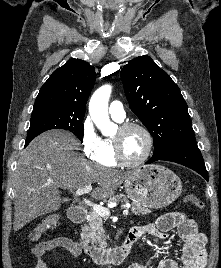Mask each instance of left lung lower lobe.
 Here are the masks:
<instances>
[{
    "label": "left lung lower lobe",
    "mask_w": 221,
    "mask_h": 268,
    "mask_svg": "<svg viewBox=\"0 0 221 268\" xmlns=\"http://www.w3.org/2000/svg\"><path fill=\"white\" fill-rule=\"evenodd\" d=\"M158 160H165L182 164L198 172L208 181V174L204 160L195 139L185 140L174 144L164 154L159 156H152L146 162V164H150Z\"/></svg>",
    "instance_id": "obj_1"
}]
</instances>
